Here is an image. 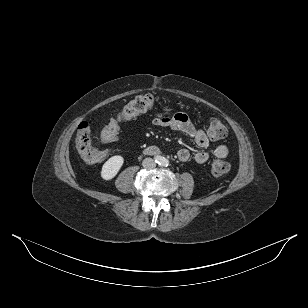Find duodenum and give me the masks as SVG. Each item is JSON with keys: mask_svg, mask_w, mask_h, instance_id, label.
<instances>
[{"mask_svg": "<svg viewBox=\"0 0 308 308\" xmlns=\"http://www.w3.org/2000/svg\"><path fill=\"white\" fill-rule=\"evenodd\" d=\"M146 154H149V155H157L159 154V149L157 147H149L145 150Z\"/></svg>", "mask_w": 308, "mask_h": 308, "instance_id": "obj_1", "label": "duodenum"}]
</instances>
